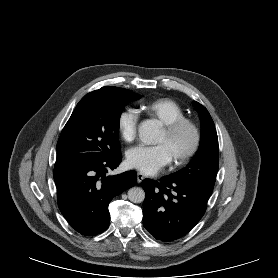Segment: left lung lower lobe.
Wrapping results in <instances>:
<instances>
[{
    "instance_id": "left-lung-lower-lobe-1",
    "label": "left lung lower lobe",
    "mask_w": 278,
    "mask_h": 278,
    "mask_svg": "<svg viewBox=\"0 0 278 278\" xmlns=\"http://www.w3.org/2000/svg\"><path fill=\"white\" fill-rule=\"evenodd\" d=\"M143 224L155 239L170 242L187 234L206 211L212 187L164 176L142 181Z\"/></svg>"
}]
</instances>
